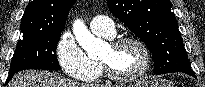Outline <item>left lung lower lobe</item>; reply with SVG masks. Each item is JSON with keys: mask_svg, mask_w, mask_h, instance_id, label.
I'll return each mask as SVG.
<instances>
[{"mask_svg": "<svg viewBox=\"0 0 205 87\" xmlns=\"http://www.w3.org/2000/svg\"><path fill=\"white\" fill-rule=\"evenodd\" d=\"M182 73L188 74V75L193 76V77L196 78L195 73H194L191 69H190V70H187V71H183Z\"/></svg>", "mask_w": 205, "mask_h": 87, "instance_id": "0a47b994", "label": "left lung lower lobe"}]
</instances>
